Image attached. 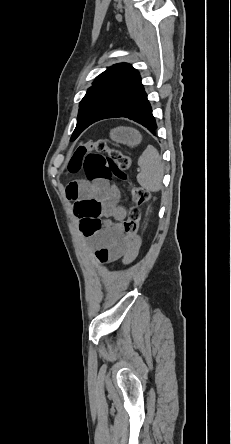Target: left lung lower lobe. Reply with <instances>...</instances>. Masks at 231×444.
<instances>
[{"label":"left lung lower lobe","instance_id":"0a47b994","mask_svg":"<svg viewBox=\"0 0 231 444\" xmlns=\"http://www.w3.org/2000/svg\"><path fill=\"white\" fill-rule=\"evenodd\" d=\"M112 117H127L142 124L153 134L157 128L155 119L152 115V109L143 86H141V88L124 103L122 108L115 115L109 118Z\"/></svg>","mask_w":231,"mask_h":444}]
</instances>
